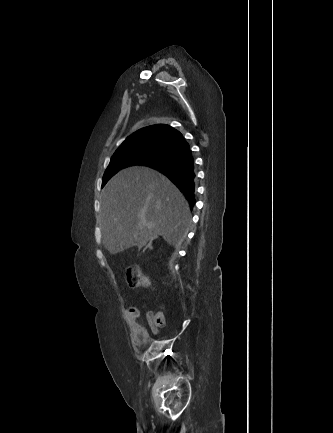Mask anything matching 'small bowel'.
Masks as SVG:
<instances>
[{"label": "small bowel", "mask_w": 333, "mask_h": 433, "mask_svg": "<svg viewBox=\"0 0 333 433\" xmlns=\"http://www.w3.org/2000/svg\"><path fill=\"white\" fill-rule=\"evenodd\" d=\"M127 324L130 329L132 341L139 347H145L150 342V333L146 329L141 319L140 310L136 307L125 309ZM148 325L153 335L158 334V327L148 318Z\"/></svg>", "instance_id": "1"}]
</instances>
